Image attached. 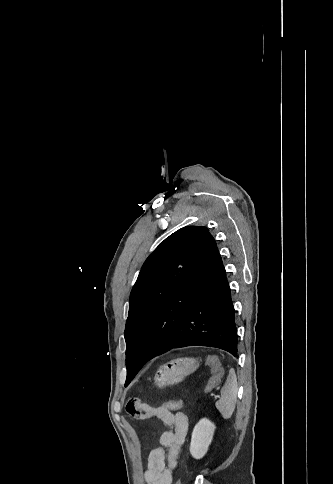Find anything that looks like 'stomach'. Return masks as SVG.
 <instances>
[{
	"mask_svg": "<svg viewBox=\"0 0 333 484\" xmlns=\"http://www.w3.org/2000/svg\"><path fill=\"white\" fill-rule=\"evenodd\" d=\"M199 366L195 358H176L162 364L154 377L155 385L159 388L181 382L187 375L193 373Z\"/></svg>",
	"mask_w": 333,
	"mask_h": 484,
	"instance_id": "0dacf381",
	"label": "stomach"
}]
</instances>
